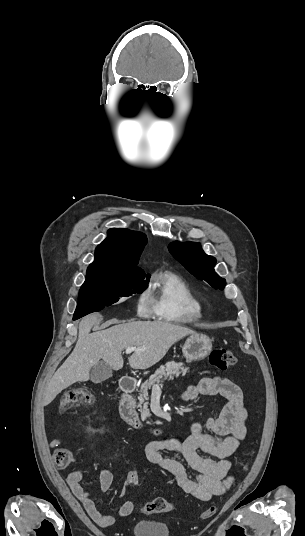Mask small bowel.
Masks as SVG:
<instances>
[{"mask_svg":"<svg viewBox=\"0 0 305 536\" xmlns=\"http://www.w3.org/2000/svg\"><path fill=\"white\" fill-rule=\"evenodd\" d=\"M199 395H218L226 399L220 415L192 423L190 435L185 439L166 436L152 440L146 444L144 453L150 463L167 471L184 492L198 500L209 501L214 496L225 494L233 483L229 457L246 436L244 422L247 411L242 401L241 389L227 378L205 377L188 387L182 393V399L193 401ZM163 452L180 455L185 464L175 458L163 456ZM200 452L217 459L203 456ZM187 467L196 473L195 477L190 475ZM82 477L80 471L68 472L66 482L70 490L98 526L110 528L115 522L114 517L103 514L97 508L82 485ZM126 481L123 483L121 496L127 492ZM112 483V472L106 468L102 469L99 474L100 491H108ZM134 508L132 500L124 501L119 509V516H129Z\"/></svg>","mask_w":305,"mask_h":536,"instance_id":"small-bowel-1","label":"small bowel"}]
</instances>
